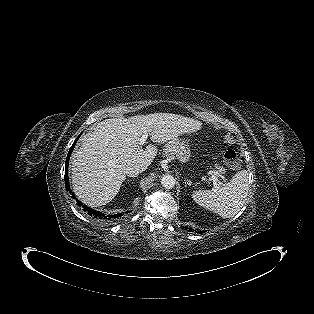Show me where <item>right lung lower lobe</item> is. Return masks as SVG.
Returning a JSON list of instances; mask_svg holds the SVG:
<instances>
[{
  "mask_svg": "<svg viewBox=\"0 0 314 314\" xmlns=\"http://www.w3.org/2000/svg\"><path fill=\"white\" fill-rule=\"evenodd\" d=\"M79 137H77V139L74 141L73 145L71 146L69 152H68V155H67V158H66V163H65V186L68 188L69 187V181H68V163H69V158H70V155H71V152L74 148V145L75 143L77 142ZM73 196V195H72ZM74 197V196H73ZM78 202L79 205H82L81 202H79L78 200H76ZM84 210L86 211H89L90 215H93L94 218H97L99 217L100 219L102 220H105V221H115L117 218H119L120 216H122V213H117V214H114V215H104L103 213H100L98 211H95L93 209H90L86 206H83Z\"/></svg>",
  "mask_w": 314,
  "mask_h": 314,
  "instance_id": "1",
  "label": "right lung lower lobe"
}]
</instances>
